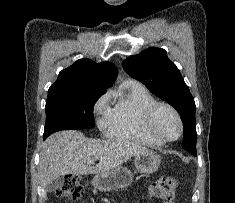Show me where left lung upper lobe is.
I'll return each mask as SVG.
<instances>
[{"label":"left lung upper lobe","mask_w":235,"mask_h":203,"mask_svg":"<svg viewBox=\"0 0 235 203\" xmlns=\"http://www.w3.org/2000/svg\"><path fill=\"white\" fill-rule=\"evenodd\" d=\"M124 70L132 78L139 80L156 96L172 105L179 113L184 129L192 133L190 149L196 155V106L188 86L180 71L172 63L164 49L150 47L130 56L122 63ZM186 150V149H185Z\"/></svg>","instance_id":"1"}]
</instances>
